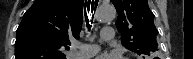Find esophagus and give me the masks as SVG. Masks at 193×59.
I'll return each mask as SVG.
<instances>
[{"label": "esophagus", "instance_id": "obj_1", "mask_svg": "<svg viewBox=\"0 0 193 59\" xmlns=\"http://www.w3.org/2000/svg\"><path fill=\"white\" fill-rule=\"evenodd\" d=\"M99 0H89V1H87V3H90V7H91V5H94V7H95V5H99Z\"/></svg>", "mask_w": 193, "mask_h": 59}]
</instances>
